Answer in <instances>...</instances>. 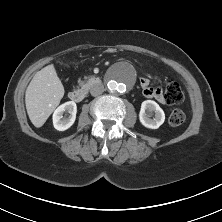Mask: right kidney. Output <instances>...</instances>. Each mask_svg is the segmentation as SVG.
Wrapping results in <instances>:
<instances>
[{
  "label": "right kidney",
  "mask_w": 222,
  "mask_h": 222,
  "mask_svg": "<svg viewBox=\"0 0 222 222\" xmlns=\"http://www.w3.org/2000/svg\"><path fill=\"white\" fill-rule=\"evenodd\" d=\"M64 113H66L64 115ZM77 106L73 101L60 105L53 113V125L58 131H65L70 128L76 119Z\"/></svg>",
  "instance_id": "ca27d5eb"
}]
</instances>
